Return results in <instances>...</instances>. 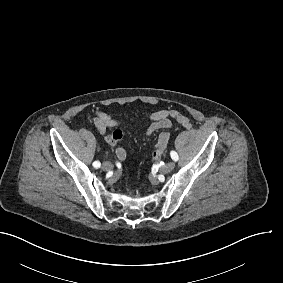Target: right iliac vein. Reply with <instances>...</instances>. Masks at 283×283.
<instances>
[{
    "instance_id": "obj_1",
    "label": "right iliac vein",
    "mask_w": 283,
    "mask_h": 283,
    "mask_svg": "<svg viewBox=\"0 0 283 283\" xmlns=\"http://www.w3.org/2000/svg\"><path fill=\"white\" fill-rule=\"evenodd\" d=\"M112 167H113L112 164L108 161H106L102 164V169L105 170V171L110 170Z\"/></svg>"
}]
</instances>
